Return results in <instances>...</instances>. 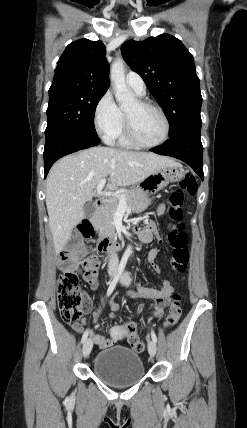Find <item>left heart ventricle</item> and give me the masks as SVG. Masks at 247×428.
<instances>
[{
  "label": "left heart ventricle",
  "instance_id": "b2bd125f",
  "mask_svg": "<svg viewBox=\"0 0 247 428\" xmlns=\"http://www.w3.org/2000/svg\"><path fill=\"white\" fill-rule=\"evenodd\" d=\"M136 136L143 142L155 143L164 134V123L153 109L141 107L134 101L125 109Z\"/></svg>",
  "mask_w": 247,
  "mask_h": 428
}]
</instances>
